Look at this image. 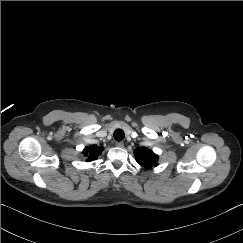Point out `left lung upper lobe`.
<instances>
[{"label": "left lung upper lobe", "mask_w": 243, "mask_h": 243, "mask_svg": "<svg viewBox=\"0 0 243 243\" xmlns=\"http://www.w3.org/2000/svg\"><path fill=\"white\" fill-rule=\"evenodd\" d=\"M134 155L136 161L147 168L156 167L158 156L154 154L152 150L147 149L146 147H140L134 150Z\"/></svg>", "instance_id": "left-lung-upper-lobe-1"}]
</instances>
